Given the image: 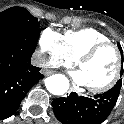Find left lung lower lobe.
Instances as JSON below:
<instances>
[{
  "label": "left lung lower lobe",
  "instance_id": "1",
  "mask_svg": "<svg viewBox=\"0 0 124 124\" xmlns=\"http://www.w3.org/2000/svg\"><path fill=\"white\" fill-rule=\"evenodd\" d=\"M120 87L96 94L92 98L71 92L52 102L56 118L62 124H101L112 112L120 93Z\"/></svg>",
  "mask_w": 124,
  "mask_h": 124
}]
</instances>
